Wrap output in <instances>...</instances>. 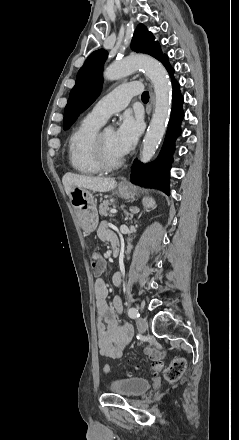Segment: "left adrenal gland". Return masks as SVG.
Listing matches in <instances>:
<instances>
[{"label":"left adrenal gland","mask_w":239,"mask_h":440,"mask_svg":"<svg viewBox=\"0 0 239 440\" xmlns=\"http://www.w3.org/2000/svg\"><path fill=\"white\" fill-rule=\"evenodd\" d=\"M143 206H145V208H152V206H154V202H144ZM131 218H133V214H130V218L129 220H131Z\"/></svg>","instance_id":"obj_1"}]
</instances>
